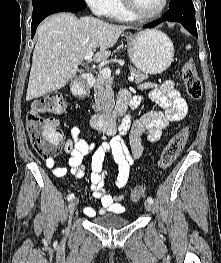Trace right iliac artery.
I'll return each mask as SVG.
<instances>
[{
	"mask_svg": "<svg viewBox=\"0 0 221 263\" xmlns=\"http://www.w3.org/2000/svg\"><path fill=\"white\" fill-rule=\"evenodd\" d=\"M73 198H74V194H73V193H71V194H69V195L67 196V200H68V201H71Z\"/></svg>",
	"mask_w": 221,
	"mask_h": 263,
	"instance_id": "obj_1",
	"label": "right iliac artery"
}]
</instances>
